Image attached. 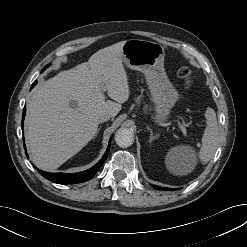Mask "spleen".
<instances>
[{"label":"spleen","instance_id":"1","mask_svg":"<svg viewBox=\"0 0 247 247\" xmlns=\"http://www.w3.org/2000/svg\"><path fill=\"white\" fill-rule=\"evenodd\" d=\"M205 118L207 126L202 136V146L198 154L200 161L204 164L210 161L219 142V131L215 111L212 108H207ZM174 155L179 154L174 151ZM167 164L171 170H175L171 161H168Z\"/></svg>","mask_w":247,"mask_h":247}]
</instances>
